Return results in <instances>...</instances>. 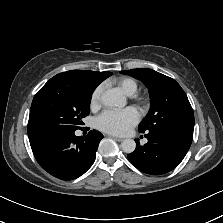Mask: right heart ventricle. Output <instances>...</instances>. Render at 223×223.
<instances>
[{"mask_svg": "<svg viewBox=\"0 0 223 223\" xmlns=\"http://www.w3.org/2000/svg\"><path fill=\"white\" fill-rule=\"evenodd\" d=\"M118 85L129 96H134L138 92V84L132 78H121L118 81Z\"/></svg>", "mask_w": 223, "mask_h": 223, "instance_id": "right-heart-ventricle-1", "label": "right heart ventricle"}]
</instances>
